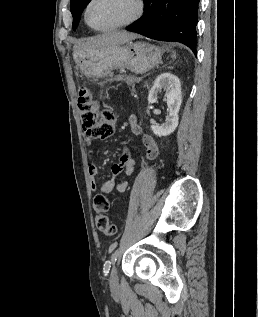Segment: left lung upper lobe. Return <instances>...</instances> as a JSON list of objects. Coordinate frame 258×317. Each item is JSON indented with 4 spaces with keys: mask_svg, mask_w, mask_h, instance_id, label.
Here are the masks:
<instances>
[{
    "mask_svg": "<svg viewBox=\"0 0 258 317\" xmlns=\"http://www.w3.org/2000/svg\"><path fill=\"white\" fill-rule=\"evenodd\" d=\"M90 0H71L70 10L73 15V29L75 30L79 24L81 13Z\"/></svg>",
    "mask_w": 258,
    "mask_h": 317,
    "instance_id": "obj_1",
    "label": "left lung upper lobe"
}]
</instances>
